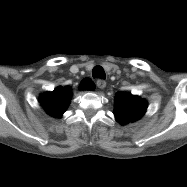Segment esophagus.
Listing matches in <instances>:
<instances>
[{"instance_id":"1","label":"esophagus","mask_w":187,"mask_h":187,"mask_svg":"<svg viewBox=\"0 0 187 187\" xmlns=\"http://www.w3.org/2000/svg\"><path fill=\"white\" fill-rule=\"evenodd\" d=\"M96 86H97L98 88H100V89H103V88H105V86H106V81L103 80V79H98V80L96 81Z\"/></svg>"}]
</instances>
